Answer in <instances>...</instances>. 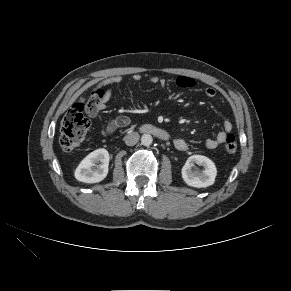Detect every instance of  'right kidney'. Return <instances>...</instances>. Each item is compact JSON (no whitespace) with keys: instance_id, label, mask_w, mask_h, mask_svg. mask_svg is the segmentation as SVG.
I'll return each instance as SVG.
<instances>
[{"instance_id":"1","label":"right kidney","mask_w":291,"mask_h":291,"mask_svg":"<svg viewBox=\"0 0 291 291\" xmlns=\"http://www.w3.org/2000/svg\"><path fill=\"white\" fill-rule=\"evenodd\" d=\"M109 160L110 156L106 149L101 148L91 152L76 168L75 178L84 183L102 181L107 176Z\"/></svg>"}]
</instances>
